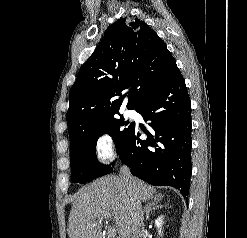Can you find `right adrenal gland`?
<instances>
[{"label":"right adrenal gland","mask_w":247,"mask_h":238,"mask_svg":"<svg viewBox=\"0 0 247 238\" xmlns=\"http://www.w3.org/2000/svg\"><path fill=\"white\" fill-rule=\"evenodd\" d=\"M161 199H162V197H157L153 201L148 202L145 205L144 209H145V214H146V221L149 219L150 212L163 207L161 205H158V203L161 201Z\"/></svg>","instance_id":"2a0ac1e0"}]
</instances>
